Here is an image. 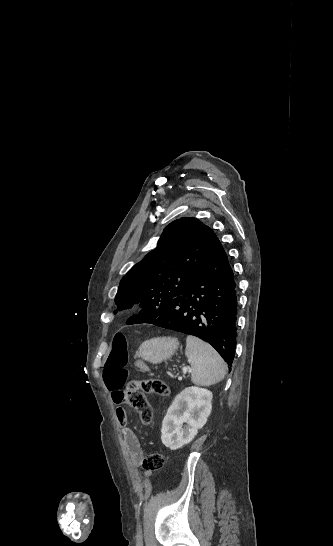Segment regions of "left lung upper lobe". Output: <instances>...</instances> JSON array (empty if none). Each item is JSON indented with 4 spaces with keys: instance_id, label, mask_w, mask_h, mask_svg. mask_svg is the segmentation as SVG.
Here are the masks:
<instances>
[{
    "instance_id": "1",
    "label": "left lung upper lobe",
    "mask_w": 333,
    "mask_h": 546,
    "mask_svg": "<svg viewBox=\"0 0 333 546\" xmlns=\"http://www.w3.org/2000/svg\"><path fill=\"white\" fill-rule=\"evenodd\" d=\"M217 239L196 218H181L163 231L157 247L120 281L115 303L119 310L140 303L139 315L153 322L168 304L190 286Z\"/></svg>"
}]
</instances>
